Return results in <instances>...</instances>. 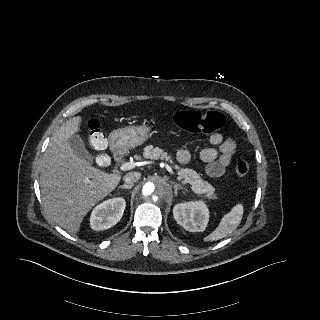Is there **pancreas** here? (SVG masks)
<instances>
[{
	"instance_id": "obj_1",
	"label": "pancreas",
	"mask_w": 320,
	"mask_h": 320,
	"mask_svg": "<svg viewBox=\"0 0 320 320\" xmlns=\"http://www.w3.org/2000/svg\"><path fill=\"white\" fill-rule=\"evenodd\" d=\"M143 156L147 159H154V160L165 159L166 161H170L171 163H173L171 157L168 156L167 153L164 152V150L158 147L154 148L152 145L146 146L143 152ZM174 169L177 170L179 177L184 179V183L191 184L192 190L197 195L204 194L205 198H208L211 200H214L217 198L214 192L213 186L208 182L203 181V179H201L200 175L196 171L189 168H181L177 164L174 165Z\"/></svg>"
}]
</instances>
